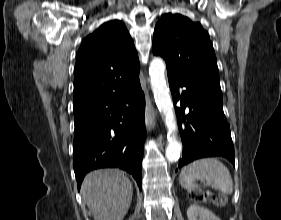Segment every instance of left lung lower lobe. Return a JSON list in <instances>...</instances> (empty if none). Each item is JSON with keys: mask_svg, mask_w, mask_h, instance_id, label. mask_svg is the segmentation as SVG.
I'll return each mask as SVG.
<instances>
[{"mask_svg": "<svg viewBox=\"0 0 281 220\" xmlns=\"http://www.w3.org/2000/svg\"><path fill=\"white\" fill-rule=\"evenodd\" d=\"M168 80L174 104L177 102L175 98L184 100L181 109H175L183 143L179 168L196 159L212 156L225 157L234 164V146L222 97L194 81L172 76H168ZM180 87H186L182 95L178 92ZM186 107L189 108L187 117L182 113Z\"/></svg>", "mask_w": 281, "mask_h": 220, "instance_id": "left-lung-lower-lobe-1", "label": "left lung lower lobe"}]
</instances>
